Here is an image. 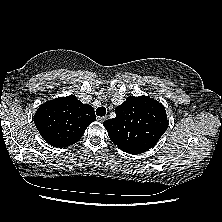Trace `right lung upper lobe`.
Returning a JSON list of instances; mask_svg holds the SVG:
<instances>
[{
	"label": "right lung upper lobe",
	"instance_id": "1",
	"mask_svg": "<svg viewBox=\"0 0 222 222\" xmlns=\"http://www.w3.org/2000/svg\"><path fill=\"white\" fill-rule=\"evenodd\" d=\"M96 120L94 109L76 96L59 97L40 105L34 123L43 139L54 147L75 144Z\"/></svg>",
	"mask_w": 222,
	"mask_h": 222
}]
</instances>
